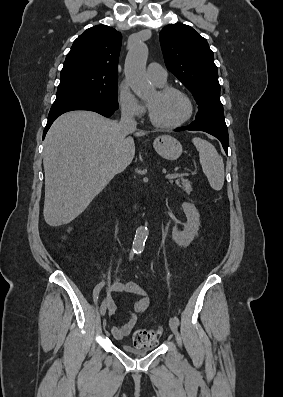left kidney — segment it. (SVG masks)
<instances>
[{"mask_svg": "<svg viewBox=\"0 0 283 397\" xmlns=\"http://www.w3.org/2000/svg\"><path fill=\"white\" fill-rule=\"evenodd\" d=\"M182 208L186 215L187 222L184 224L183 231H178L177 228H173L172 239L179 246H188L198 234L200 214L196 207L191 203H183Z\"/></svg>", "mask_w": 283, "mask_h": 397, "instance_id": "5707ae66", "label": "left kidney"}]
</instances>
